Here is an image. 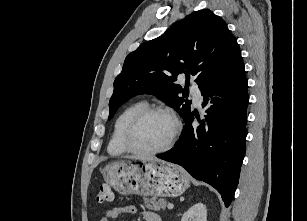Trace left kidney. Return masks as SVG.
I'll return each instance as SVG.
<instances>
[{"label": "left kidney", "mask_w": 307, "mask_h": 221, "mask_svg": "<svg viewBox=\"0 0 307 221\" xmlns=\"http://www.w3.org/2000/svg\"><path fill=\"white\" fill-rule=\"evenodd\" d=\"M181 221H207V209L203 203H197L185 212Z\"/></svg>", "instance_id": "left-kidney-1"}]
</instances>
